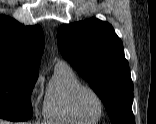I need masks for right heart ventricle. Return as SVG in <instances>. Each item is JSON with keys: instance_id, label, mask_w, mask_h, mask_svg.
Masks as SVG:
<instances>
[{"instance_id": "e07e8e85", "label": "right heart ventricle", "mask_w": 156, "mask_h": 124, "mask_svg": "<svg viewBox=\"0 0 156 124\" xmlns=\"http://www.w3.org/2000/svg\"><path fill=\"white\" fill-rule=\"evenodd\" d=\"M82 83L74 70L64 62H57L49 81L43 114L45 120L56 124H93L98 120L79 118L73 111L71 95Z\"/></svg>"}]
</instances>
